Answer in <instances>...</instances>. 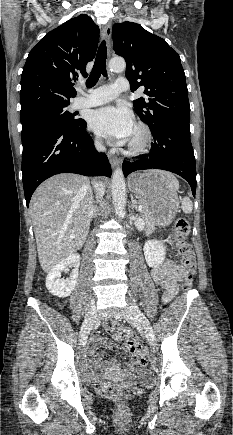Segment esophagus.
Wrapping results in <instances>:
<instances>
[{"label":"esophagus","mask_w":233,"mask_h":435,"mask_svg":"<svg viewBox=\"0 0 233 435\" xmlns=\"http://www.w3.org/2000/svg\"><path fill=\"white\" fill-rule=\"evenodd\" d=\"M111 31H112L111 23L107 22L102 28V37L105 39L109 51H110ZM108 158L112 168L114 169L117 168L120 163L119 159L116 156H114L112 153H108Z\"/></svg>","instance_id":"34e87169"}]
</instances>
